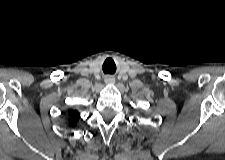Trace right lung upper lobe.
<instances>
[{"label": "right lung upper lobe", "mask_w": 225, "mask_h": 160, "mask_svg": "<svg viewBox=\"0 0 225 160\" xmlns=\"http://www.w3.org/2000/svg\"><path fill=\"white\" fill-rule=\"evenodd\" d=\"M69 115H70V125H72V126H75L76 125V123H77V121H78V119H79V117H80V114H79V112L78 111H74V110H71L70 112H69Z\"/></svg>", "instance_id": "cb5924a9"}]
</instances>
